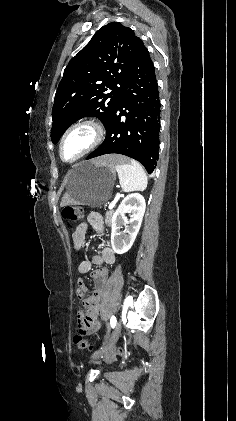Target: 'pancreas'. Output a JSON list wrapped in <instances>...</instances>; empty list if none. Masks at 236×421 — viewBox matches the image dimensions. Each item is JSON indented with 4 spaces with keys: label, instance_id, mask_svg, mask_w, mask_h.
<instances>
[{
    "label": "pancreas",
    "instance_id": "pancreas-1",
    "mask_svg": "<svg viewBox=\"0 0 236 421\" xmlns=\"http://www.w3.org/2000/svg\"><path fill=\"white\" fill-rule=\"evenodd\" d=\"M113 213L114 211H107L105 219L106 225H110Z\"/></svg>",
    "mask_w": 236,
    "mask_h": 421
}]
</instances>
